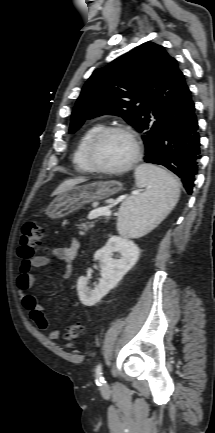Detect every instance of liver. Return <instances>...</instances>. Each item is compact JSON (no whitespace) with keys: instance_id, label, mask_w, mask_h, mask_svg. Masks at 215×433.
Returning a JSON list of instances; mask_svg holds the SVG:
<instances>
[{"instance_id":"6515ba94","label":"liver","mask_w":215,"mask_h":433,"mask_svg":"<svg viewBox=\"0 0 215 433\" xmlns=\"http://www.w3.org/2000/svg\"><path fill=\"white\" fill-rule=\"evenodd\" d=\"M86 181H87V179L84 177L66 180L56 188V190L52 193V196L59 195L65 191L73 188L75 185L86 182Z\"/></svg>"}]
</instances>
